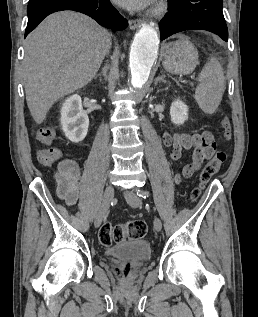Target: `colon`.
Masks as SVG:
<instances>
[{"label":"colon","instance_id":"obj_1","mask_svg":"<svg viewBox=\"0 0 258 317\" xmlns=\"http://www.w3.org/2000/svg\"><path fill=\"white\" fill-rule=\"evenodd\" d=\"M221 128L223 130V137L229 140L232 135L231 123L227 117L221 119ZM60 158V151L57 148H47L37 151V159L43 165H52ZM227 156L223 151H217L213 158L204 167L201 177L200 185L192 192V199L196 200L200 194L201 189L210 181V179L219 171ZM147 232V226L144 222L139 220L129 221L125 224L113 225L110 222H105L98 232L99 241L105 245L110 246L114 243L122 242L125 239L135 240L141 239ZM132 266L126 264L124 266H117L116 272L120 278H127L132 274Z\"/></svg>","mask_w":258,"mask_h":317}]
</instances>
